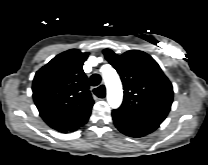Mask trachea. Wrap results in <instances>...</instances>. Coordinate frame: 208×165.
Here are the masks:
<instances>
[{
    "instance_id": "1",
    "label": "trachea",
    "mask_w": 208,
    "mask_h": 165,
    "mask_svg": "<svg viewBox=\"0 0 208 165\" xmlns=\"http://www.w3.org/2000/svg\"><path fill=\"white\" fill-rule=\"evenodd\" d=\"M101 82V77L98 74H93L90 77V84L91 86H97ZM94 94L97 95L99 98H104L105 96V90L102 86L96 88L93 90Z\"/></svg>"
}]
</instances>
